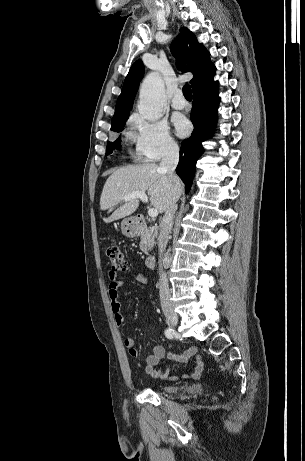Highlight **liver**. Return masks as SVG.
Masks as SVG:
<instances>
[{
	"instance_id": "1",
	"label": "liver",
	"mask_w": 305,
	"mask_h": 461,
	"mask_svg": "<svg viewBox=\"0 0 305 461\" xmlns=\"http://www.w3.org/2000/svg\"><path fill=\"white\" fill-rule=\"evenodd\" d=\"M138 191L147 192L151 205L159 213H164L170 206L172 197L181 195L182 185L177 176L172 182L168 181L167 175L155 163L129 165L117 169L108 177L101 193L100 208H113L122 203L124 196ZM139 204L137 198L126 201L110 217L103 218V221L110 223L130 216L138 209Z\"/></svg>"
}]
</instances>
